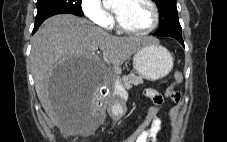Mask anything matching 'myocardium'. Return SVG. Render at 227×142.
<instances>
[{
  "mask_svg": "<svg viewBox=\"0 0 227 142\" xmlns=\"http://www.w3.org/2000/svg\"><path fill=\"white\" fill-rule=\"evenodd\" d=\"M145 1L150 6L151 12H152V21L148 27L144 29H130L125 25H123L119 20V18L117 17V15L114 12H112L113 23L116 29L123 33L131 34V35H145L152 32L158 26V23H159V17H160L159 9L157 4L153 0H145Z\"/></svg>",
  "mask_w": 227,
  "mask_h": 142,
  "instance_id": "obj_1",
  "label": "myocardium"
}]
</instances>
